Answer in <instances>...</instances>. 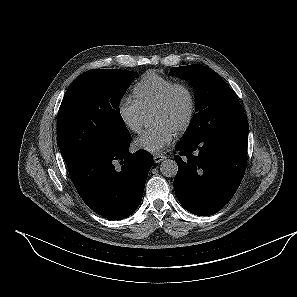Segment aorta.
Segmentation results:
<instances>
[{
  "mask_svg": "<svg viewBox=\"0 0 297 297\" xmlns=\"http://www.w3.org/2000/svg\"><path fill=\"white\" fill-rule=\"evenodd\" d=\"M160 171L166 177H174L178 172V165L175 160L165 159L161 162Z\"/></svg>",
  "mask_w": 297,
  "mask_h": 297,
  "instance_id": "aorta-1",
  "label": "aorta"
}]
</instances>
